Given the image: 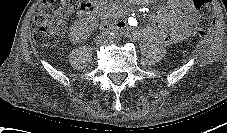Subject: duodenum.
Returning <instances> with one entry per match:
<instances>
[{
	"label": "duodenum",
	"mask_w": 227,
	"mask_h": 133,
	"mask_svg": "<svg viewBox=\"0 0 227 133\" xmlns=\"http://www.w3.org/2000/svg\"><path fill=\"white\" fill-rule=\"evenodd\" d=\"M101 29L104 32H118L123 30V24L120 22L106 21L102 24Z\"/></svg>",
	"instance_id": "duodenum-1"
}]
</instances>
